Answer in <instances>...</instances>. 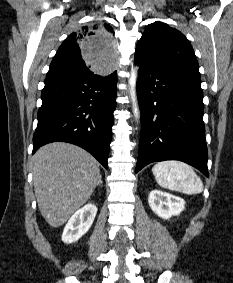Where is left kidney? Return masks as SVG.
Masks as SVG:
<instances>
[{"label":"left kidney","mask_w":233,"mask_h":283,"mask_svg":"<svg viewBox=\"0 0 233 283\" xmlns=\"http://www.w3.org/2000/svg\"><path fill=\"white\" fill-rule=\"evenodd\" d=\"M148 202L152 211L165 220L179 215L185 208L183 199L160 190L151 191Z\"/></svg>","instance_id":"1"}]
</instances>
